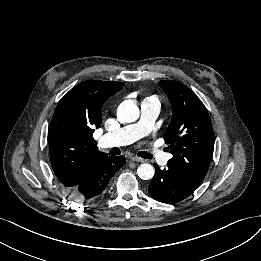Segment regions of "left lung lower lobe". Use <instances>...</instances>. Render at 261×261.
I'll list each match as a JSON object with an SVG mask.
<instances>
[{
  "instance_id": "obj_1",
  "label": "left lung lower lobe",
  "mask_w": 261,
  "mask_h": 261,
  "mask_svg": "<svg viewBox=\"0 0 261 261\" xmlns=\"http://www.w3.org/2000/svg\"><path fill=\"white\" fill-rule=\"evenodd\" d=\"M154 166L155 175L148 189L153 199L162 203L173 204L187 198L195 191L170 166L164 170H161L157 164H154Z\"/></svg>"
}]
</instances>
